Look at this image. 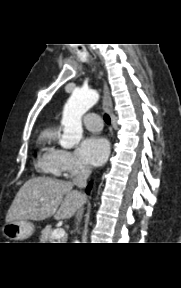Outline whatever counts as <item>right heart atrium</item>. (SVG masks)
Listing matches in <instances>:
<instances>
[{"label": "right heart atrium", "instance_id": "right-heart-atrium-1", "mask_svg": "<svg viewBox=\"0 0 181 288\" xmlns=\"http://www.w3.org/2000/svg\"><path fill=\"white\" fill-rule=\"evenodd\" d=\"M58 169L56 175L61 177H72L87 171V167L72 152L67 150H58Z\"/></svg>", "mask_w": 181, "mask_h": 288}]
</instances>
